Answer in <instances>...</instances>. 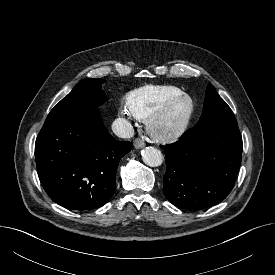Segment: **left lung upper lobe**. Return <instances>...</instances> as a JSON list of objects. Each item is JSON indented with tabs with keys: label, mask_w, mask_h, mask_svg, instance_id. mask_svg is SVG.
Listing matches in <instances>:
<instances>
[{
	"label": "left lung upper lobe",
	"mask_w": 275,
	"mask_h": 275,
	"mask_svg": "<svg viewBox=\"0 0 275 275\" xmlns=\"http://www.w3.org/2000/svg\"><path fill=\"white\" fill-rule=\"evenodd\" d=\"M196 127L209 133L240 132L232 110L212 84L207 87L203 112Z\"/></svg>",
	"instance_id": "1"
}]
</instances>
